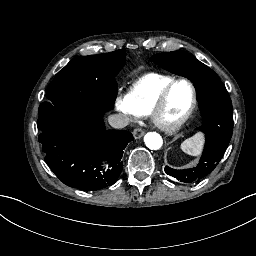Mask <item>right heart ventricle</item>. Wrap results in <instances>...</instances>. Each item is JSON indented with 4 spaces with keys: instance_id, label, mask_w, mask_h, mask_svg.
<instances>
[{
    "instance_id": "e07e8e85",
    "label": "right heart ventricle",
    "mask_w": 256,
    "mask_h": 256,
    "mask_svg": "<svg viewBox=\"0 0 256 256\" xmlns=\"http://www.w3.org/2000/svg\"><path fill=\"white\" fill-rule=\"evenodd\" d=\"M152 81L138 84L134 87L132 97L139 98L145 103L153 102L158 95L176 78L172 75H151Z\"/></svg>"
}]
</instances>
